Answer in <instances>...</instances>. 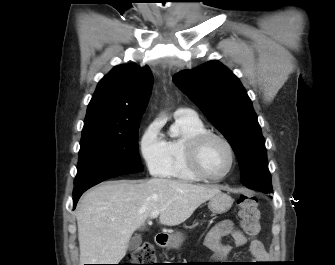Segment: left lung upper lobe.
Wrapping results in <instances>:
<instances>
[{"label": "left lung upper lobe", "mask_w": 335, "mask_h": 265, "mask_svg": "<svg viewBox=\"0 0 335 265\" xmlns=\"http://www.w3.org/2000/svg\"><path fill=\"white\" fill-rule=\"evenodd\" d=\"M173 81L228 140L239 161L242 184L272 192L265 140L239 79L213 60L175 74Z\"/></svg>", "instance_id": "obj_1"}]
</instances>
